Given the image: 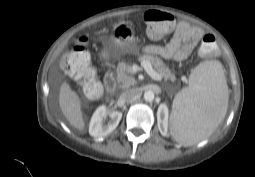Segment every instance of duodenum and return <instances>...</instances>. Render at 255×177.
<instances>
[{
	"label": "duodenum",
	"instance_id": "duodenum-1",
	"mask_svg": "<svg viewBox=\"0 0 255 177\" xmlns=\"http://www.w3.org/2000/svg\"><path fill=\"white\" fill-rule=\"evenodd\" d=\"M104 85L109 93L112 94L116 91V81L114 76L110 72H107L105 74Z\"/></svg>",
	"mask_w": 255,
	"mask_h": 177
}]
</instances>
